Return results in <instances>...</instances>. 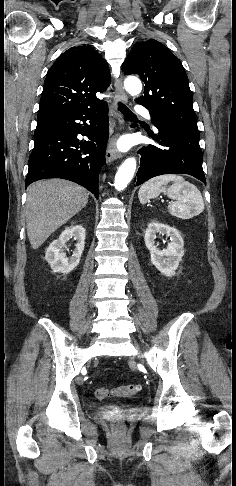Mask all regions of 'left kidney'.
Wrapping results in <instances>:
<instances>
[{
	"label": "left kidney",
	"instance_id": "5707ae66",
	"mask_svg": "<svg viewBox=\"0 0 236 486\" xmlns=\"http://www.w3.org/2000/svg\"><path fill=\"white\" fill-rule=\"evenodd\" d=\"M157 234L170 237L171 242L166 249L160 250L155 244ZM144 241L147 249L151 254L152 264L161 272V274L172 277L182 261L184 256V241L179 231L163 223L152 221L148 224L145 231Z\"/></svg>",
	"mask_w": 236,
	"mask_h": 486
}]
</instances>
